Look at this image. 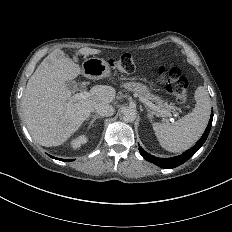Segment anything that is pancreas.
I'll return each instance as SVG.
<instances>
[{"instance_id": "1", "label": "pancreas", "mask_w": 232, "mask_h": 232, "mask_svg": "<svg viewBox=\"0 0 232 232\" xmlns=\"http://www.w3.org/2000/svg\"><path fill=\"white\" fill-rule=\"evenodd\" d=\"M137 94H138L139 97H143V98H146L149 101L154 102L155 106L162 107L164 110L167 111V113L171 112V110L174 109L173 106L169 105L167 102H164L160 97L151 94L149 91L145 92V93H137Z\"/></svg>"}]
</instances>
